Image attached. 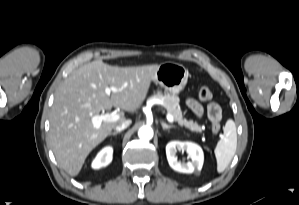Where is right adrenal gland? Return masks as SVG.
I'll return each mask as SVG.
<instances>
[{"label": "right adrenal gland", "instance_id": "2a0ac1e0", "mask_svg": "<svg viewBox=\"0 0 299 205\" xmlns=\"http://www.w3.org/2000/svg\"><path fill=\"white\" fill-rule=\"evenodd\" d=\"M119 133H120V132H117V131H116V132H112V133L109 134V136H115V135H117V134H119Z\"/></svg>", "mask_w": 299, "mask_h": 205}]
</instances>
